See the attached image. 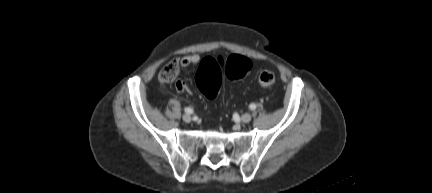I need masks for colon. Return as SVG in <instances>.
I'll return each mask as SVG.
<instances>
[{
    "mask_svg": "<svg viewBox=\"0 0 432 193\" xmlns=\"http://www.w3.org/2000/svg\"><path fill=\"white\" fill-rule=\"evenodd\" d=\"M251 68V61L239 55L219 57L217 60L206 58L200 64L196 74V84L207 98L214 99L223 75L229 79H240L246 77ZM178 71V61L171 60L162 68L159 78L163 82H172L176 79ZM258 82L261 86L270 88L275 84L276 76L272 71H263L258 77Z\"/></svg>",
    "mask_w": 432,
    "mask_h": 193,
    "instance_id": "obj_1",
    "label": "colon"
}]
</instances>
